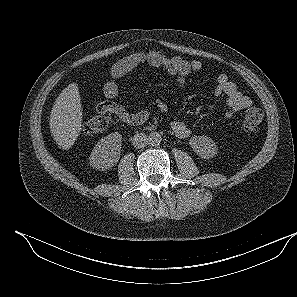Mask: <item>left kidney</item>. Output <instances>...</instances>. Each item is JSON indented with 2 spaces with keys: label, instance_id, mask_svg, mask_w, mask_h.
<instances>
[{
  "label": "left kidney",
  "instance_id": "obj_1",
  "mask_svg": "<svg viewBox=\"0 0 297 297\" xmlns=\"http://www.w3.org/2000/svg\"><path fill=\"white\" fill-rule=\"evenodd\" d=\"M189 144L197 155L203 159L212 158L218 152L215 142L204 135L192 137Z\"/></svg>",
  "mask_w": 297,
  "mask_h": 297
}]
</instances>
